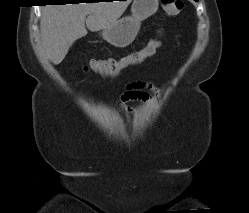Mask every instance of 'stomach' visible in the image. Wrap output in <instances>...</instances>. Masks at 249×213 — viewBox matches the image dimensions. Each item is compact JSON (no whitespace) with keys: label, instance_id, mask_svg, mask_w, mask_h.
Wrapping results in <instances>:
<instances>
[{"label":"stomach","instance_id":"stomach-1","mask_svg":"<svg viewBox=\"0 0 249 213\" xmlns=\"http://www.w3.org/2000/svg\"><path fill=\"white\" fill-rule=\"evenodd\" d=\"M159 0H134L131 16H125L102 30V37L115 47H126L139 32L141 22L158 10Z\"/></svg>","mask_w":249,"mask_h":213}]
</instances>
